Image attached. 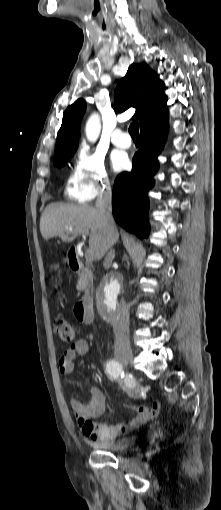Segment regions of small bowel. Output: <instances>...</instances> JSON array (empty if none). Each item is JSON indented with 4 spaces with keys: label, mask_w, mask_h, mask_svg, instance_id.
<instances>
[{
    "label": "small bowel",
    "mask_w": 221,
    "mask_h": 510,
    "mask_svg": "<svg viewBox=\"0 0 221 510\" xmlns=\"http://www.w3.org/2000/svg\"><path fill=\"white\" fill-rule=\"evenodd\" d=\"M87 351L88 343L86 340L79 339L74 342L65 350L58 361L60 373L66 376L71 375L74 371L75 360L85 355ZM124 387L130 396L137 394V390L132 386L125 385ZM88 394L89 400L87 403L72 398L70 406L78 419L83 434L91 440L102 443L116 440L120 435L146 424L162 411V401L160 399L155 400L151 406L123 404L125 410L133 413V416L127 422L115 425L93 423L90 421L91 418H97L105 412V397L96 386H91L88 389Z\"/></svg>",
    "instance_id": "c3829d8e"
}]
</instances>
